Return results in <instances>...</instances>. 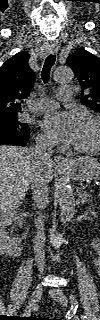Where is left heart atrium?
<instances>
[{"instance_id":"39dd6f15","label":"left heart atrium","mask_w":100,"mask_h":320,"mask_svg":"<svg viewBox=\"0 0 100 320\" xmlns=\"http://www.w3.org/2000/svg\"><path fill=\"white\" fill-rule=\"evenodd\" d=\"M41 127L55 142L74 144L78 136L80 121L72 113L54 112L43 118Z\"/></svg>"}]
</instances>
